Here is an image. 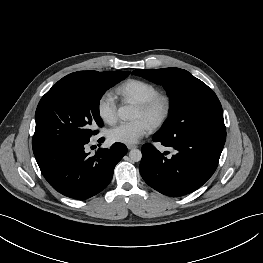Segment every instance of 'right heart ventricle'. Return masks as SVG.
I'll return each mask as SVG.
<instances>
[{
    "label": "right heart ventricle",
    "mask_w": 263,
    "mask_h": 263,
    "mask_svg": "<svg viewBox=\"0 0 263 263\" xmlns=\"http://www.w3.org/2000/svg\"><path fill=\"white\" fill-rule=\"evenodd\" d=\"M158 92L159 90L154 84L140 79L126 80L115 89V93L123 101L134 104L144 102Z\"/></svg>",
    "instance_id": "right-heart-ventricle-1"
}]
</instances>
